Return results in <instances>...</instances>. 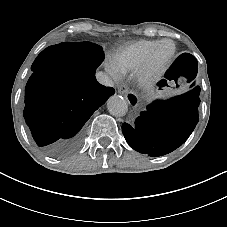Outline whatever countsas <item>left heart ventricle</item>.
Wrapping results in <instances>:
<instances>
[{
    "label": "left heart ventricle",
    "mask_w": 227,
    "mask_h": 227,
    "mask_svg": "<svg viewBox=\"0 0 227 227\" xmlns=\"http://www.w3.org/2000/svg\"><path fill=\"white\" fill-rule=\"evenodd\" d=\"M172 51V46L170 44H166L162 49V54L167 55Z\"/></svg>",
    "instance_id": "left-heart-ventricle-1"
}]
</instances>
